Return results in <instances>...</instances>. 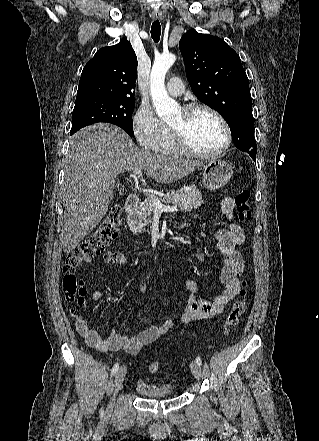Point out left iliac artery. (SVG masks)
Segmentation results:
<instances>
[{
    "label": "left iliac artery",
    "mask_w": 319,
    "mask_h": 441,
    "mask_svg": "<svg viewBox=\"0 0 319 441\" xmlns=\"http://www.w3.org/2000/svg\"><path fill=\"white\" fill-rule=\"evenodd\" d=\"M196 362H197L199 365H201V364H202V360H201V358H200V357H196Z\"/></svg>",
    "instance_id": "44dca946"
}]
</instances>
